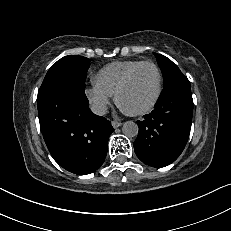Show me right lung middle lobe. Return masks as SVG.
Here are the masks:
<instances>
[{
  "label": "right lung middle lobe",
  "mask_w": 231,
  "mask_h": 231,
  "mask_svg": "<svg viewBox=\"0 0 231 231\" xmlns=\"http://www.w3.org/2000/svg\"><path fill=\"white\" fill-rule=\"evenodd\" d=\"M89 62L88 58L76 55L66 56L58 60L47 72L38 97L54 87L65 84H74L84 89Z\"/></svg>",
  "instance_id": "right-lung-middle-lobe-1"
}]
</instances>
